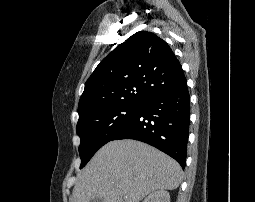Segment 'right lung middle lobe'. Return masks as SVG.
Segmentation results:
<instances>
[{"label": "right lung middle lobe", "instance_id": "1", "mask_svg": "<svg viewBox=\"0 0 255 202\" xmlns=\"http://www.w3.org/2000/svg\"><path fill=\"white\" fill-rule=\"evenodd\" d=\"M141 104H121L91 112L77 123V134L81 139L79 154L83 168L95 152L113 137L137 113Z\"/></svg>", "mask_w": 255, "mask_h": 202}]
</instances>
